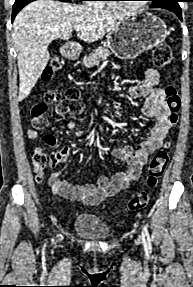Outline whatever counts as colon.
<instances>
[{
    "label": "colon",
    "instance_id": "5ec220e1",
    "mask_svg": "<svg viewBox=\"0 0 193 287\" xmlns=\"http://www.w3.org/2000/svg\"><path fill=\"white\" fill-rule=\"evenodd\" d=\"M172 60V51L167 44L158 45L152 53V63L157 67L167 66ZM61 60L57 57L51 58L48 68L45 72L47 78L55 77L61 70ZM165 95L167 105L170 111V123L175 125L178 121V113L181 108V100L173 86L165 88ZM82 93L76 88L68 89L64 98L58 102L57 111L60 113L70 112L72 114H80L83 110ZM58 100V94L54 91L47 92L44 96V102L35 104L32 108V123L37 129H42L47 124V104L53 103ZM169 149L170 145L159 150L151 159L148 176L147 187L148 190L142 191L134 196L127 204V210L135 212L145 208L150 201V191L155 189L158 185L160 178L163 176L168 163H169ZM32 164L37 172V179L41 180L43 174L49 165V160L46 153L42 149H36L33 153Z\"/></svg>",
    "mask_w": 193,
    "mask_h": 287
}]
</instances>
